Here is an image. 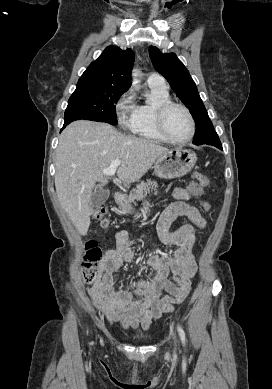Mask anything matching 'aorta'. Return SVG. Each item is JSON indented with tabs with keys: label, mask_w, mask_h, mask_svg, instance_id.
<instances>
[{
	"label": "aorta",
	"mask_w": 272,
	"mask_h": 389,
	"mask_svg": "<svg viewBox=\"0 0 272 389\" xmlns=\"http://www.w3.org/2000/svg\"><path fill=\"white\" fill-rule=\"evenodd\" d=\"M138 76H139V71L134 69L132 72V78H133V84L136 86L137 89H138V79H137Z\"/></svg>",
	"instance_id": "obj_1"
}]
</instances>
